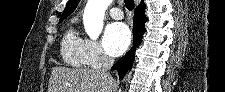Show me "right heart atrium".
I'll list each match as a JSON object with an SVG mask.
<instances>
[{
	"instance_id": "obj_1",
	"label": "right heart atrium",
	"mask_w": 225,
	"mask_h": 92,
	"mask_svg": "<svg viewBox=\"0 0 225 92\" xmlns=\"http://www.w3.org/2000/svg\"><path fill=\"white\" fill-rule=\"evenodd\" d=\"M106 56L101 45L93 40H84V65L88 67L103 66Z\"/></svg>"
}]
</instances>
